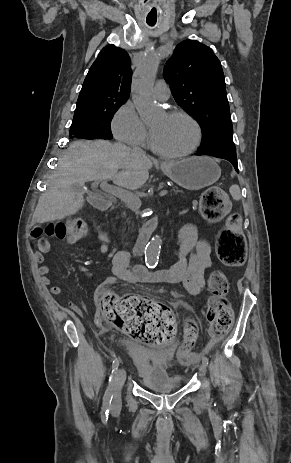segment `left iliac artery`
<instances>
[{"instance_id":"left-iliac-artery-1","label":"left iliac artery","mask_w":291,"mask_h":463,"mask_svg":"<svg viewBox=\"0 0 291 463\" xmlns=\"http://www.w3.org/2000/svg\"><path fill=\"white\" fill-rule=\"evenodd\" d=\"M202 363H204L205 365H208V358H207V357H203Z\"/></svg>"}]
</instances>
